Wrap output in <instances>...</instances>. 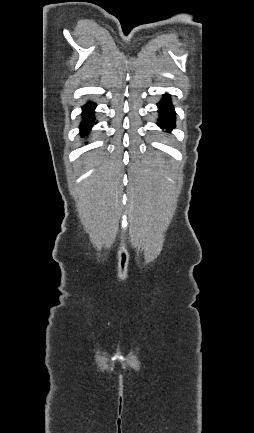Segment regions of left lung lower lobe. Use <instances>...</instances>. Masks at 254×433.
Instances as JSON below:
<instances>
[{
    "label": "left lung lower lobe",
    "mask_w": 254,
    "mask_h": 433,
    "mask_svg": "<svg viewBox=\"0 0 254 433\" xmlns=\"http://www.w3.org/2000/svg\"><path fill=\"white\" fill-rule=\"evenodd\" d=\"M160 118L158 120V125L163 128L167 127L166 131L170 132L175 128V111L171 102L169 101V95H166L164 99L158 103Z\"/></svg>",
    "instance_id": "left-lung-lower-lobe-1"
}]
</instances>
